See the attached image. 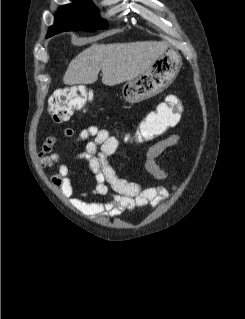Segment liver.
<instances>
[{
	"instance_id": "6515ba94",
	"label": "liver",
	"mask_w": 245,
	"mask_h": 319,
	"mask_svg": "<svg viewBox=\"0 0 245 319\" xmlns=\"http://www.w3.org/2000/svg\"><path fill=\"white\" fill-rule=\"evenodd\" d=\"M163 41L94 44L69 64L66 85L92 84L102 71V82L114 86L132 80L146 71L168 48Z\"/></svg>"
}]
</instances>
